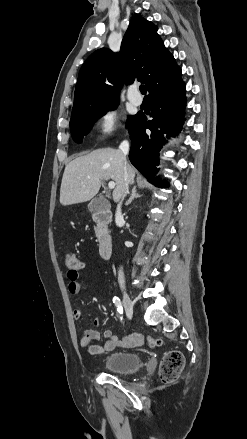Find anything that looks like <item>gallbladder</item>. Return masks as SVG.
I'll return each mask as SVG.
<instances>
[{
	"label": "gallbladder",
	"mask_w": 247,
	"mask_h": 439,
	"mask_svg": "<svg viewBox=\"0 0 247 439\" xmlns=\"http://www.w3.org/2000/svg\"><path fill=\"white\" fill-rule=\"evenodd\" d=\"M88 208L91 212H95L105 209V206L101 198H95L89 203Z\"/></svg>",
	"instance_id": "gallbladder-1"
}]
</instances>
